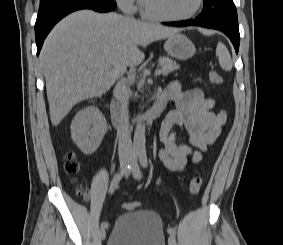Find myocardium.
<instances>
[{"instance_id":"myocardium-1","label":"myocardium","mask_w":283,"mask_h":245,"mask_svg":"<svg viewBox=\"0 0 283 245\" xmlns=\"http://www.w3.org/2000/svg\"><path fill=\"white\" fill-rule=\"evenodd\" d=\"M203 4H204V0H197L195 7L189 13L182 15V16H177V17H168V16L158 15V14H154L150 12L146 8L144 1L140 0L142 15L149 20L160 21V22H181V21L189 20L193 18L201 10V8L203 7Z\"/></svg>"}]
</instances>
